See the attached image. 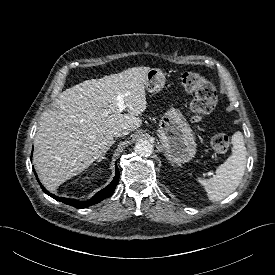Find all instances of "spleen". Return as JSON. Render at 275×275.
Listing matches in <instances>:
<instances>
[{
    "instance_id": "3e777b00",
    "label": "spleen",
    "mask_w": 275,
    "mask_h": 275,
    "mask_svg": "<svg viewBox=\"0 0 275 275\" xmlns=\"http://www.w3.org/2000/svg\"><path fill=\"white\" fill-rule=\"evenodd\" d=\"M232 145V155L216 169L211 179H197L212 202L221 201L233 193L244 175L247 151L240 131L233 134Z\"/></svg>"
}]
</instances>
